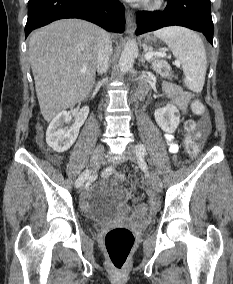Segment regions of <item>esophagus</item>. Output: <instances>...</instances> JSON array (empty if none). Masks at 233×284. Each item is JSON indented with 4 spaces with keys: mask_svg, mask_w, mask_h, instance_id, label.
I'll return each instance as SVG.
<instances>
[{
    "mask_svg": "<svg viewBox=\"0 0 233 284\" xmlns=\"http://www.w3.org/2000/svg\"><path fill=\"white\" fill-rule=\"evenodd\" d=\"M126 25H127V32L134 33L136 30V22H135V13L127 9L126 10Z\"/></svg>",
    "mask_w": 233,
    "mask_h": 284,
    "instance_id": "obj_1",
    "label": "esophagus"
}]
</instances>
